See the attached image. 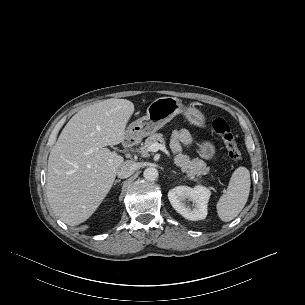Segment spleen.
<instances>
[{"label": "spleen", "mask_w": 305, "mask_h": 305, "mask_svg": "<svg viewBox=\"0 0 305 305\" xmlns=\"http://www.w3.org/2000/svg\"><path fill=\"white\" fill-rule=\"evenodd\" d=\"M250 172L246 167H238L230 178L225 193L217 203V213L224 222L236 218L244 208L250 192Z\"/></svg>", "instance_id": "spleen-1"}]
</instances>
